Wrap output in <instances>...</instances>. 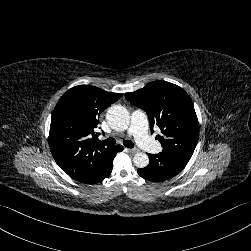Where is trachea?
Here are the masks:
<instances>
[{
    "label": "trachea",
    "instance_id": "1",
    "mask_svg": "<svg viewBox=\"0 0 251 251\" xmlns=\"http://www.w3.org/2000/svg\"><path fill=\"white\" fill-rule=\"evenodd\" d=\"M103 143L106 145H114V144H116V140L114 138H108V139L104 140ZM123 145L128 148H133V146H134L133 142L129 141V140L124 141Z\"/></svg>",
    "mask_w": 251,
    "mask_h": 251
}]
</instances>
